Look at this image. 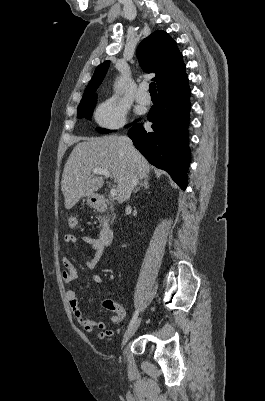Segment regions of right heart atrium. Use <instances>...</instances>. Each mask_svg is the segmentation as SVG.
Returning a JSON list of instances; mask_svg holds the SVG:
<instances>
[{"instance_id":"d8ad5b80","label":"right heart atrium","mask_w":265,"mask_h":401,"mask_svg":"<svg viewBox=\"0 0 265 401\" xmlns=\"http://www.w3.org/2000/svg\"><path fill=\"white\" fill-rule=\"evenodd\" d=\"M127 108L115 96L101 102L95 110L97 122L110 129H119L126 125Z\"/></svg>"}]
</instances>
